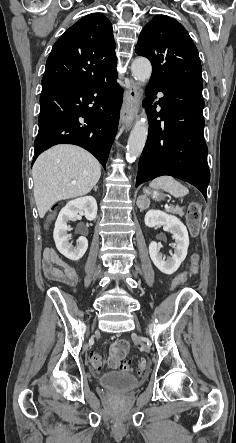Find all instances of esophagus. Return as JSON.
<instances>
[{"label":"esophagus","mask_w":236,"mask_h":443,"mask_svg":"<svg viewBox=\"0 0 236 443\" xmlns=\"http://www.w3.org/2000/svg\"><path fill=\"white\" fill-rule=\"evenodd\" d=\"M140 102V87L133 79H130L129 87L126 90L125 106L121 113V123L125 124L126 130L130 129L134 119L137 117Z\"/></svg>","instance_id":"34e87169"}]
</instances>
